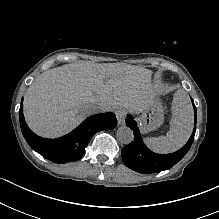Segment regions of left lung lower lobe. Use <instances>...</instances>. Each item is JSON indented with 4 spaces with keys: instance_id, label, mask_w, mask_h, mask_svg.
I'll list each match as a JSON object with an SVG mask.
<instances>
[{
    "instance_id": "left-lung-lower-lobe-1",
    "label": "left lung lower lobe",
    "mask_w": 219,
    "mask_h": 219,
    "mask_svg": "<svg viewBox=\"0 0 219 219\" xmlns=\"http://www.w3.org/2000/svg\"><path fill=\"white\" fill-rule=\"evenodd\" d=\"M194 111H195V124L197 122L196 107L191 98ZM127 126L134 132V141L122 148V159L125 165L142 174L156 173L163 170L170 169L176 163H178L189 151L196 131L194 127L193 133L189 138L185 146L180 150L170 154H157L149 150L140 135V131L137 127L136 122L133 120L131 115L127 116Z\"/></svg>"
}]
</instances>
